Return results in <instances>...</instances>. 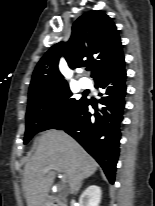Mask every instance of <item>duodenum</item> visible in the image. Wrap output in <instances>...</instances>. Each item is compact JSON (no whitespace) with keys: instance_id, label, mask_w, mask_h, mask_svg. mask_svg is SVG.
Returning <instances> with one entry per match:
<instances>
[{"instance_id":"1","label":"duodenum","mask_w":155,"mask_h":206,"mask_svg":"<svg viewBox=\"0 0 155 206\" xmlns=\"http://www.w3.org/2000/svg\"><path fill=\"white\" fill-rule=\"evenodd\" d=\"M46 206H66V205L59 199L51 196L47 199Z\"/></svg>"}]
</instances>
